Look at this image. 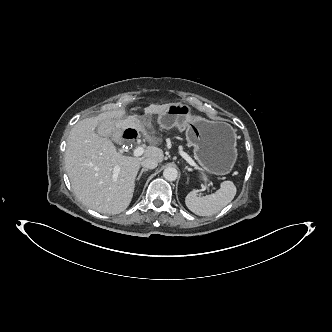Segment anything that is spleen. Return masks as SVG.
<instances>
[{
    "label": "spleen",
    "instance_id": "3e777b00",
    "mask_svg": "<svg viewBox=\"0 0 332 332\" xmlns=\"http://www.w3.org/2000/svg\"><path fill=\"white\" fill-rule=\"evenodd\" d=\"M236 186L231 181H224L220 189L206 196H198L193 190L186 198L185 203L190 211L200 216H210L220 212L236 195Z\"/></svg>",
    "mask_w": 332,
    "mask_h": 332
}]
</instances>
